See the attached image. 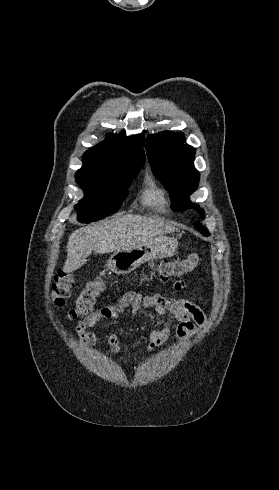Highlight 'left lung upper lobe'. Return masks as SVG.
I'll return each mask as SVG.
<instances>
[{"label":"left lung upper lobe","instance_id":"left-lung-upper-lobe-1","mask_svg":"<svg viewBox=\"0 0 279 490\" xmlns=\"http://www.w3.org/2000/svg\"><path fill=\"white\" fill-rule=\"evenodd\" d=\"M184 134L165 131L147 138L146 151L156 176L170 193L173 208L183 211L192 205L189 196L198 187L200 174L194 167L195 149L184 144ZM204 217V210L197 209ZM203 235L209 236L206 228L195 225Z\"/></svg>","mask_w":279,"mask_h":490}]
</instances>
